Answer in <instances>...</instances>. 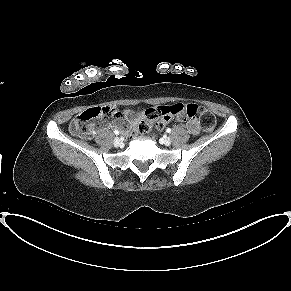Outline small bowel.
Returning a JSON list of instances; mask_svg holds the SVG:
<instances>
[{
  "mask_svg": "<svg viewBox=\"0 0 291 291\" xmlns=\"http://www.w3.org/2000/svg\"><path fill=\"white\" fill-rule=\"evenodd\" d=\"M152 109H147L138 113L125 111L123 113V116L125 118L129 117V121L125 122V120L122 117L116 118L112 120V122L109 124V127L112 128H120L123 131H129L133 130L136 131L138 128V125L141 120L146 119L148 116V112ZM177 119L179 121L185 122L186 129L191 135H198L200 132V124L198 120L195 117H188L186 115H179L177 116Z\"/></svg>",
  "mask_w": 291,
  "mask_h": 291,
  "instance_id": "1",
  "label": "small bowel"
}]
</instances>
